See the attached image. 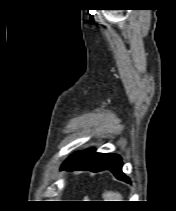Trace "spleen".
Returning a JSON list of instances; mask_svg holds the SVG:
<instances>
[{"label":"spleen","mask_w":176,"mask_h":211,"mask_svg":"<svg viewBox=\"0 0 176 211\" xmlns=\"http://www.w3.org/2000/svg\"><path fill=\"white\" fill-rule=\"evenodd\" d=\"M103 199L104 201H123L122 195L118 192L113 191H105L103 193Z\"/></svg>","instance_id":"spleen-1"}]
</instances>
